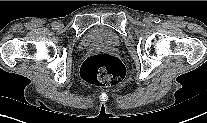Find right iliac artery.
<instances>
[{"mask_svg": "<svg viewBox=\"0 0 207 123\" xmlns=\"http://www.w3.org/2000/svg\"><path fill=\"white\" fill-rule=\"evenodd\" d=\"M59 27V23L58 22H53L52 23V28L53 29H57Z\"/></svg>", "mask_w": 207, "mask_h": 123, "instance_id": "right-iliac-artery-1", "label": "right iliac artery"}]
</instances>
